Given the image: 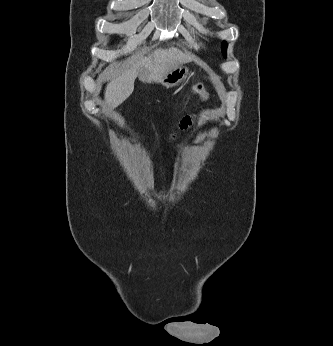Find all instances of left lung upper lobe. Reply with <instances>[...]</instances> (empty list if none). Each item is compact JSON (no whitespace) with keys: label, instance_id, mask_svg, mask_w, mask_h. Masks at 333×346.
Wrapping results in <instances>:
<instances>
[{"label":"left lung upper lobe","instance_id":"obj_1","mask_svg":"<svg viewBox=\"0 0 333 346\" xmlns=\"http://www.w3.org/2000/svg\"><path fill=\"white\" fill-rule=\"evenodd\" d=\"M226 48H227V43L223 42L221 45V50H222L224 57H226Z\"/></svg>","mask_w":333,"mask_h":346}]
</instances>
